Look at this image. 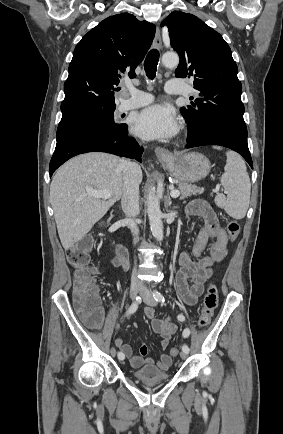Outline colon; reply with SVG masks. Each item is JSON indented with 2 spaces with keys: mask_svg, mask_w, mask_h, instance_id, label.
Wrapping results in <instances>:
<instances>
[{
  "mask_svg": "<svg viewBox=\"0 0 283 434\" xmlns=\"http://www.w3.org/2000/svg\"><path fill=\"white\" fill-rule=\"evenodd\" d=\"M240 233L239 224L232 220L227 225V235L230 240H235ZM92 239L85 237L71 246L66 254L67 261L73 267V289L75 308L91 328H98L102 323L103 311L100 306L98 287L90 269ZM218 304V291L214 284L209 285L204 296L199 325L207 327L212 319L214 310ZM179 349L172 347L170 355L177 356Z\"/></svg>",
  "mask_w": 283,
  "mask_h": 434,
  "instance_id": "5ec220e1",
  "label": "colon"
}]
</instances>
